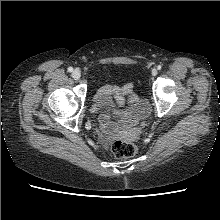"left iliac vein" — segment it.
Returning a JSON list of instances; mask_svg holds the SVG:
<instances>
[{"instance_id":"obj_1","label":"left iliac vein","mask_w":220,"mask_h":220,"mask_svg":"<svg viewBox=\"0 0 220 220\" xmlns=\"http://www.w3.org/2000/svg\"><path fill=\"white\" fill-rule=\"evenodd\" d=\"M156 75H157V69L154 68V69L152 70V76H156Z\"/></svg>"}]
</instances>
